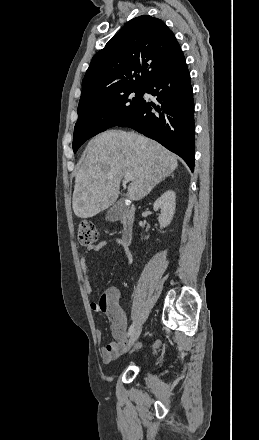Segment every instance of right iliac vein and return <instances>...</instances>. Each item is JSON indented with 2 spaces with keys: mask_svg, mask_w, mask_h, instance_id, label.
<instances>
[{
  "mask_svg": "<svg viewBox=\"0 0 259 440\" xmlns=\"http://www.w3.org/2000/svg\"><path fill=\"white\" fill-rule=\"evenodd\" d=\"M141 331H142V324L141 323H138L136 326H135V328H134V330H133V333H132V335H131V337H130V340H129V343H128V349L135 343V341L138 339V337L140 336V334H141Z\"/></svg>",
  "mask_w": 259,
  "mask_h": 440,
  "instance_id": "1",
  "label": "right iliac vein"
}]
</instances>
